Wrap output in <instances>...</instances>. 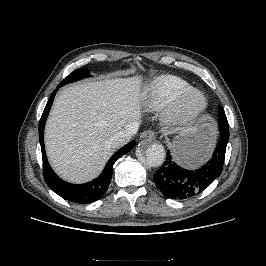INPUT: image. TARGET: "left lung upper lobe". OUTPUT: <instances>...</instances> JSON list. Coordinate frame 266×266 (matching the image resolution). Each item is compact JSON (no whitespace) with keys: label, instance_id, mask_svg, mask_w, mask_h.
Wrapping results in <instances>:
<instances>
[{"label":"left lung upper lobe","instance_id":"obj_1","mask_svg":"<svg viewBox=\"0 0 266 266\" xmlns=\"http://www.w3.org/2000/svg\"><path fill=\"white\" fill-rule=\"evenodd\" d=\"M222 116L225 117L226 122H224V123L227 124L228 122H227V118H226V115H225V113H224V110H223L221 107H219V121H220V122H222Z\"/></svg>","mask_w":266,"mask_h":266}]
</instances>
